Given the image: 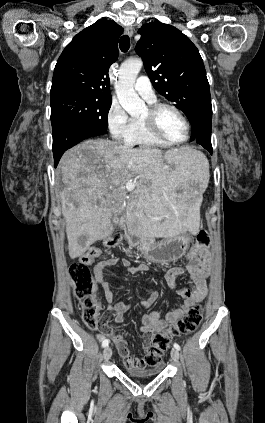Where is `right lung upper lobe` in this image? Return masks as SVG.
<instances>
[{"label":"right lung upper lobe","instance_id":"right-lung-upper-lobe-1","mask_svg":"<svg viewBox=\"0 0 265 423\" xmlns=\"http://www.w3.org/2000/svg\"><path fill=\"white\" fill-rule=\"evenodd\" d=\"M123 28L100 19L78 33L65 47L54 69L50 98L79 94L111 99L109 67L118 58Z\"/></svg>","mask_w":265,"mask_h":423}]
</instances>
